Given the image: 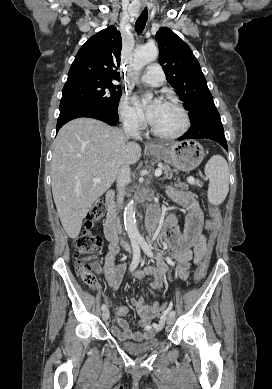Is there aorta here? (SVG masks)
Masks as SVG:
<instances>
[{
	"label": "aorta",
	"instance_id": "obj_1",
	"mask_svg": "<svg viewBox=\"0 0 272 389\" xmlns=\"http://www.w3.org/2000/svg\"><path fill=\"white\" fill-rule=\"evenodd\" d=\"M158 48L155 45H145L137 47L134 51V59L132 67L136 72H139L145 65L154 61L158 57ZM150 97H145L143 100H148ZM124 226L125 230L133 243H139L143 240L140 235L135 216L134 201L127 203L124 209Z\"/></svg>",
	"mask_w": 272,
	"mask_h": 389
}]
</instances>
